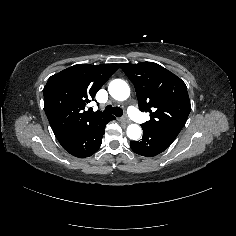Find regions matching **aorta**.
<instances>
[{"label":"aorta","mask_w":236,"mask_h":236,"mask_svg":"<svg viewBox=\"0 0 236 236\" xmlns=\"http://www.w3.org/2000/svg\"><path fill=\"white\" fill-rule=\"evenodd\" d=\"M109 94L118 101H124L130 96L129 85L121 79L113 80L108 87ZM127 137L131 140H139L142 135V129L137 124H130L126 131Z\"/></svg>","instance_id":"762f6f07"}]
</instances>
